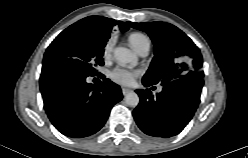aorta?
<instances>
[{"instance_id":"aorta-1","label":"aorta","mask_w":248,"mask_h":158,"mask_svg":"<svg viewBox=\"0 0 248 158\" xmlns=\"http://www.w3.org/2000/svg\"><path fill=\"white\" fill-rule=\"evenodd\" d=\"M114 57L121 63H132L136 60L135 55L125 47H117L114 50ZM125 103L130 107H136L139 104V96L135 92H130L125 96Z\"/></svg>"}]
</instances>
